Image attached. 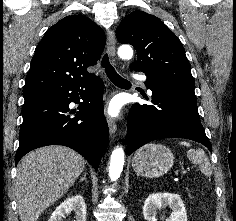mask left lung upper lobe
I'll return each mask as SVG.
<instances>
[{"label": "left lung upper lobe", "instance_id": "5c2ea615", "mask_svg": "<svg viewBox=\"0 0 236 221\" xmlns=\"http://www.w3.org/2000/svg\"><path fill=\"white\" fill-rule=\"evenodd\" d=\"M116 36L120 43L131 44L137 51L130 69L165 83L195 88L184 47L159 18L134 11L121 21Z\"/></svg>", "mask_w": 236, "mask_h": 221}]
</instances>
